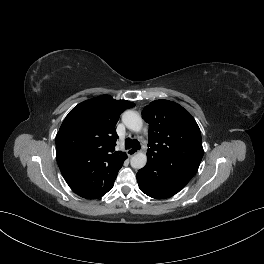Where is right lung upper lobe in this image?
<instances>
[{
  "label": "right lung upper lobe",
  "mask_w": 264,
  "mask_h": 264,
  "mask_svg": "<svg viewBox=\"0 0 264 264\" xmlns=\"http://www.w3.org/2000/svg\"><path fill=\"white\" fill-rule=\"evenodd\" d=\"M135 106L102 95L75 106L56 135V159L70 188L86 199H97L114 185L127 158L115 151L120 114Z\"/></svg>",
  "instance_id": "1"
}]
</instances>
